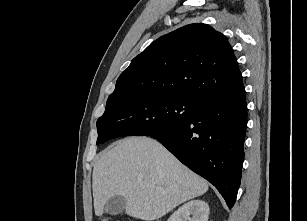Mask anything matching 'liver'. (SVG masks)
I'll return each instance as SVG.
<instances>
[{
  "label": "liver",
  "mask_w": 307,
  "mask_h": 221,
  "mask_svg": "<svg viewBox=\"0 0 307 221\" xmlns=\"http://www.w3.org/2000/svg\"><path fill=\"white\" fill-rule=\"evenodd\" d=\"M92 188L96 216H102L106 203L119 195L126 200L127 215L153 221L203 195L208 184L159 142L129 137L100 154L93 169Z\"/></svg>",
  "instance_id": "obj_1"
}]
</instances>
